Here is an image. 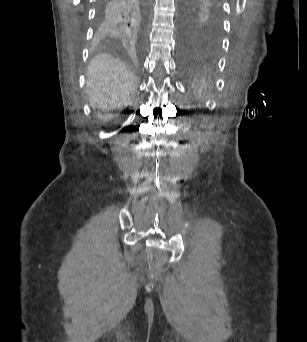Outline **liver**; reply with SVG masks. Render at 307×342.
Segmentation results:
<instances>
[{
	"label": "liver",
	"instance_id": "1",
	"mask_svg": "<svg viewBox=\"0 0 307 342\" xmlns=\"http://www.w3.org/2000/svg\"><path fill=\"white\" fill-rule=\"evenodd\" d=\"M86 90L90 106L97 112H104L113 106H130L137 90L136 78L125 64L108 54H100L88 66ZM98 118L108 122L115 116L98 114Z\"/></svg>",
	"mask_w": 307,
	"mask_h": 342
}]
</instances>
